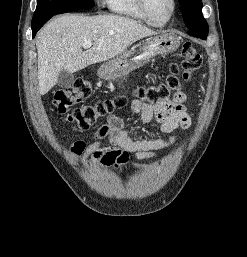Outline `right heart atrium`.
I'll return each mask as SVG.
<instances>
[{"instance_id": "1", "label": "right heart atrium", "mask_w": 247, "mask_h": 257, "mask_svg": "<svg viewBox=\"0 0 247 257\" xmlns=\"http://www.w3.org/2000/svg\"><path fill=\"white\" fill-rule=\"evenodd\" d=\"M100 3H104L106 0H98Z\"/></svg>"}]
</instances>
